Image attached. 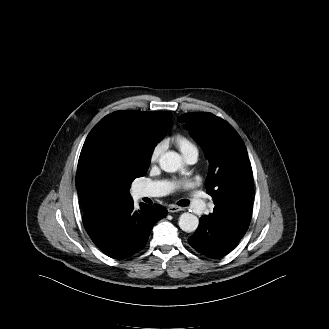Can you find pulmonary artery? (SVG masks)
Instances as JSON below:
<instances>
[{"label":"pulmonary artery","instance_id":"obj_1","mask_svg":"<svg viewBox=\"0 0 329 329\" xmlns=\"http://www.w3.org/2000/svg\"><path fill=\"white\" fill-rule=\"evenodd\" d=\"M198 158V150H194L187 157L186 161L190 164L196 162ZM173 186L169 182L166 181H153L141 184L137 187V196L139 198L142 197H160L169 194L172 190ZM204 203L202 200L198 198H194L190 202V208L195 211L204 210Z\"/></svg>","mask_w":329,"mask_h":329}]
</instances>
